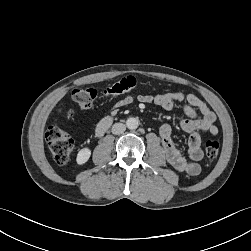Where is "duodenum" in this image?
I'll return each instance as SVG.
<instances>
[{
    "mask_svg": "<svg viewBox=\"0 0 251 251\" xmlns=\"http://www.w3.org/2000/svg\"><path fill=\"white\" fill-rule=\"evenodd\" d=\"M112 122H113V118L110 117V116H107V117L103 118L98 123V125L96 127V134L98 136L103 135L108 130V128L111 126Z\"/></svg>",
    "mask_w": 251,
    "mask_h": 251,
    "instance_id": "1",
    "label": "duodenum"
}]
</instances>
